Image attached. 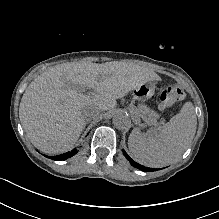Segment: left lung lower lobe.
Returning <instances> with one entry per match:
<instances>
[{"instance_id":"0a47b994","label":"left lung lower lobe","mask_w":219,"mask_h":219,"mask_svg":"<svg viewBox=\"0 0 219 219\" xmlns=\"http://www.w3.org/2000/svg\"><path fill=\"white\" fill-rule=\"evenodd\" d=\"M123 154L124 156L129 160V162L136 168H138L139 170H142V171H154L155 169H151V168H148V167H145L143 165H140L139 163H136L134 162L129 156L128 154L123 150Z\"/></svg>"}]
</instances>
